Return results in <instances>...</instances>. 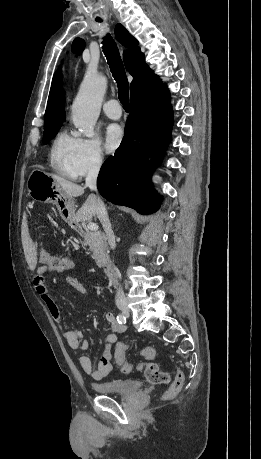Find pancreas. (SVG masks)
<instances>
[{"label": "pancreas", "mask_w": 261, "mask_h": 459, "mask_svg": "<svg viewBox=\"0 0 261 459\" xmlns=\"http://www.w3.org/2000/svg\"><path fill=\"white\" fill-rule=\"evenodd\" d=\"M84 238L85 244L89 246L96 264L99 267H103L108 257V247L104 234L101 232L89 231L84 234Z\"/></svg>", "instance_id": "obj_1"}]
</instances>
